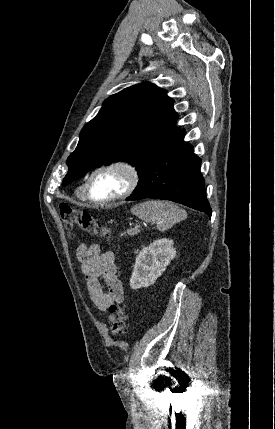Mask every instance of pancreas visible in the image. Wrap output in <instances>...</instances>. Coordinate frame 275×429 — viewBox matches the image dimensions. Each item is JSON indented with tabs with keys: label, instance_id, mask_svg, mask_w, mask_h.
<instances>
[{
	"label": "pancreas",
	"instance_id": "obj_1",
	"mask_svg": "<svg viewBox=\"0 0 275 429\" xmlns=\"http://www.w3.org/2000/svg\"><path fill=\"white\" fill-rule=\"evenodd\" d=\"M138 233H140V229L139 228H131V229H128L126 232H125V234H121V237L123 236V235H128V236H134V235H136V234H138Z\"/></svg>",
	"mask_w": 275,
	"mask_h": 429
}]
</instances>
